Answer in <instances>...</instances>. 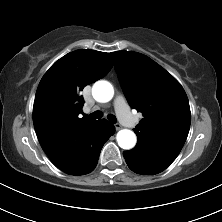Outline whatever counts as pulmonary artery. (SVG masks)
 Masks as SVG:
<instances>
[{
	"mask_svg": "<svg viewBox=\"0 0 222 222\" xmlns=\"http://www.w3.org/2000/svg\"><path fill=\"white\" fill-rule=\"evenodd\" d=\"M114 108L119 117V120L127 125L134 126L136 124L135 120L128 116V106L125 98L122 95H118L114 100Z\"/></svg>",
	"mask_w": 222,
	"mask_h": 222,
	"instance_id": "obj_1",
	"label": "pulmonary artery"
}]
</instances>
